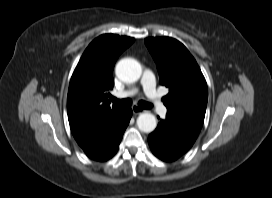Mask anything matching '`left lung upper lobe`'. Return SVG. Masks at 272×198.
Wrapping results in <instances>:
<instances>
[{
  "label": "left lung upper lobe",
  "mask_w": 272,
  "mask_h": 198,
  "mask_svg": "<svg viewBox=\"0 0 272 198\" xmlns=\"http://www.w3.org/2000/svg\"><path fill=\"white\" fill-rule=\"evenodd\" d=\"M144 42L156 62L160 84L169 88L162 98L167 112L203 123L208 89L193 56L170 37L146 38Z\"/></svg>",
  "instance_id": "1"
}]
</instances>
